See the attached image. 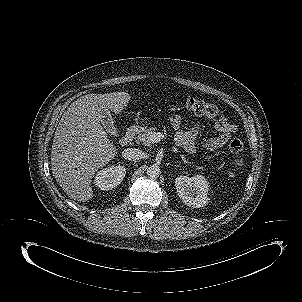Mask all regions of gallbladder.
<instances>
[{
	"instance_id": "1",
	"label": "gallbladder",
	"mask_w": 302,
	"mask_h": 302,
	"mask_svg": "<svg viewBox=\"0 0 302 302\" xmlns=\"http://www.w3.org/2000/svg\"><path fill=\"white\" fill-rule=\"evenodd\" d=\"M101 116H102V120L101 123L103 124V126L105 127V129L110 133V134H116V128L114 126V122L112 119V116L110 114V111L107 109H102L101 110Z\"/></svg>"
}]
</instances>
